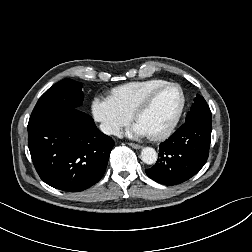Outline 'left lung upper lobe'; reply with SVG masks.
<instances>
[{"label":"left lung upper lobe","instance_id":"obj_1","mask_svg":"<svg viewBox=\"0 0 252 252\" xmlns=\"http://www.w3.org/2000/svg\"><path fill=\"white\" fill-rule=\"evenodd\" d=\"M195 119L212 120L209 106L207 105L204 98L200 95H197V97L194 99V103L190 111L188 112V115L186 116L185 122L195 120Z\"/></svg>","mask_w":252,"mask_h":252}]
</instances>
